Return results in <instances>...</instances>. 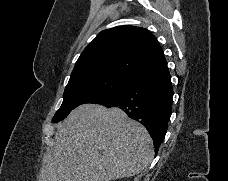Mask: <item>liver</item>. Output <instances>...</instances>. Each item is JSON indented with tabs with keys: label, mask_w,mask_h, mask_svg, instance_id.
<instances>
[{
	"label": "liver",
	"mask_w": 228,
	"mask_h": 181,
	"mask_svg": "<svg viewBox=\"0 0 228 181\" xmlns=\"http://www.w3.org/2000/svg\"><path fill=\"white\" fill-rule=\"evenodd\" d=\"M40 181H115L147 169L153 141L124 111L80 105L58 125Z\"/></svg>",
	"instance_id": "1"
}]
</instances>
